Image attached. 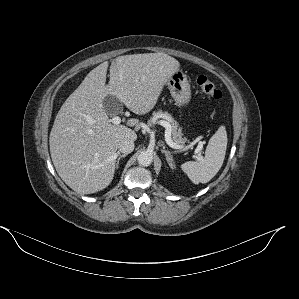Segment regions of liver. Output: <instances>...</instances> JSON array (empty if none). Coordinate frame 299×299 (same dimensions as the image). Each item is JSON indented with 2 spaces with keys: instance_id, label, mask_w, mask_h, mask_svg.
Returning a JSON list of instances; mask_svg holds the SVG:
<instances>
[{
  "instance_id": "liver-1",
  "label": "liver",
  "mask_w": 299,
  "mask_h": 299,
  "mask_svg": "<svg viewBox=\"0 0 299 299\" xmlns=\"http://www.w3.org/2000/svg\"><path fill=\"white\" fill-rule=\"evenodd\" d=\"M180 67L173 57L163 53L119 56L88 73L78 88L61 106L50 132V154L61 179L80 194L105 189L113 180L118 143L123 138L135 141L129 128L138 124L113 125L104 110L103 100L115 96L138 115L150 112L169 78Z\"/></svg>"
}]
</instances>
